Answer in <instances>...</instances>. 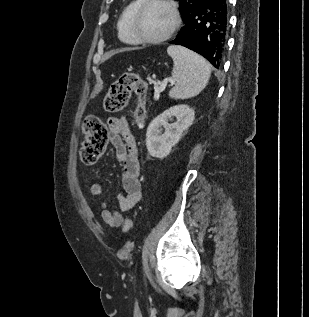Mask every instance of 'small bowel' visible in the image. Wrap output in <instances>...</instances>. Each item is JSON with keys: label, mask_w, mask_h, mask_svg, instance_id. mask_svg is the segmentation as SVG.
Returning <instances> with one entry per match:
<instances>
[{"label": "small bowel", "mask_w": 309, "mask_h": 317, "mask_svg": "<svg viewBox=\"0 0 309 317\" xmlns=\"http://www.w3.org/2000/svg\"><path fill=\"white\" fill-rule=\"evenodd\" d=\"M110 130V144L115 156L122 167L121 181L124 193L117 196L121 211L134 209L142 199L140 181V162L135 137L124 117H109L107 120ZM84 187L93 198L102 195V185L98 181L85 177ZM101 217L110 227H119L125 216L118 210H110L106 200L100 201Z\"/></svg>", "instance_id": "1"}]
</instances>
